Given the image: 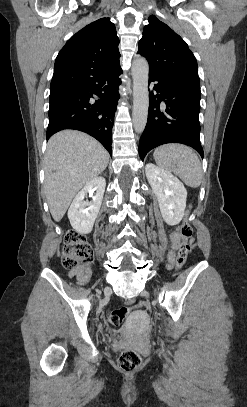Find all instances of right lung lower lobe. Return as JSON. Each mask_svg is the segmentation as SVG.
I'll use <instances>...</instances> for the list:
<instances>
[{"mask_svg": "<svg viewBox=\"0 0 247 407\" xmlns=\"http://www.w3.org/2000/svg\"><path fill=\"white\" fill-rule=\"evenodd\" d=\"M120 65L99 72L88 79L78 91L50 100L47 140L64 129L83 131L96 138L112 155V127L119 99ZM93 94L100 97L94 104Z\"/></svg>", "mask_w": 247, "mask_h": 407, "instance_id": "1", "label": "right lung lower lobe"}]
</instances>
